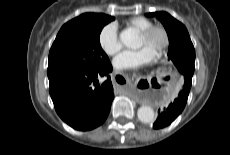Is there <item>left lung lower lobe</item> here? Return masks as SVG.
Returning <instances> with one entry per match:
<instances>
[{"instance_id": "left-lung-lower-lobe-1", "label": "left lung lower lobe", "mask_w": 230, "mask_h": 155, "mask_svg": "<svg viewBox=\"0 0 230 155\" xmlns=\"http://www.w3.org/2000/svg\"><path fill=\"white\" fill-rule=\"evenodd\" d=\"M191 82V77L184 78V84L180 89L178 97L173 102H171L168 107L164 108V111H158L160 115L153 124V128L159 129L170 125L183 111L190 92Z\"/></svg>"}]
</instances>
